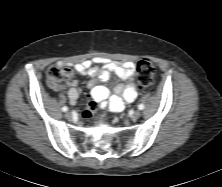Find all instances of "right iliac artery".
<instances>
[{
  "label": "right iliac artery",
  "instance_id": "right-iliac-artery-1",
  "mask_svg": "<svg viewBox=\"0 0 222 187\" xmlns=\"http://www.w3.org/2000/svg\"><path fill=\"white\" fill-rule=\"evenodd\" d=\"M68 108L66 106L62 107V111L66 112Z\"/></svg>",
  "mask_w": 222,
  "mask_h": 187
}]
</instances>
